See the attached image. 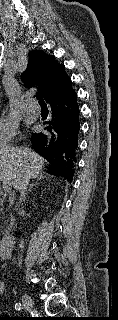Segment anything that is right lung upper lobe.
Segmentation results:
<instances>
[{
  "label": "right lung upper lobe",
  "mask_w": 118,
  "mask_h": 320,
  "mask_svg": "<svg viewBox=\"0 0 118 320\" xmlns=\"http://www.w3.org/2000/svg\"><path fill=\"white\" fill-rule=\"evenodd\" d=\"M21 77L26 87L37 86L38 95L46 101L71 87L65 66L43 51L29 53L28 67Z\"/></svg>",
  "instance_id": "obj_1"
}]
</instances>
